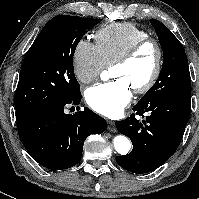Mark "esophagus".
Returning a JSON list of instances; mask_svg holds the SVG:
<instances>
[{"mask_svg":"<svg viewBox=\"0 0 199 199\" xmlns=\"http://www.w3.org/2000/svg\"><path fill=\"white\" fill-rule=\"evenodd\" d=\"M107 129L110 131H114L115 130V122L112 120H108L107 121Z\"/></svg>","mask_w":199,"mask_h":199,"instance_id":"obj_1","label":"esophagus"}]
</instances>
